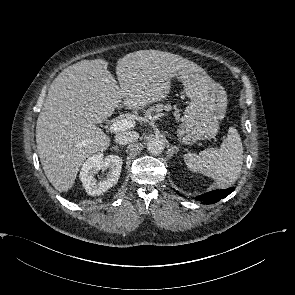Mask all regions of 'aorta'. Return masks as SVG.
Instances as JSON below:
<instances>
[{
    "label": "aorta",
    "instance_id": "1",
    "mask_svg": "<svg viewBox=\"0 0 295 295\" xmlns=\"http://www.w3.org/2000/svg\"><path fill=\"white\" fill-rule=\"evenodd\" d=\"M165 148L164 141L161 138H151L147 143V149L149 153L157 155L163 152Z\"/></svg>",
    "mask_w": 295,
    "mask_h": 295
}]
</instances>
